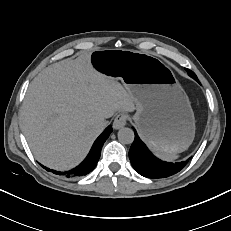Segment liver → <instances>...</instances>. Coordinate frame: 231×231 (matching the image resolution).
<instances>
[{
	"instance_id": "liver-1",
	"label": "liver",
	"mask_w": 231,
	"mask_h": 231,
	"mask_svg": "<svg viewBox=\"0 0 231 231\" xmlns=\"http://www.w3.org/2000/svg\"><path fill=\"white\" fill-rule=\"evenodd\" d=\"M90 54L43 70L29 85L21 128L35 158L64 171L77 166L117 111L133 112L135 100L117 79L97 72Z\"/></svg>"
}]
</instances>
